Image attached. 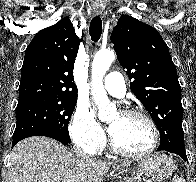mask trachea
Returning <instances> with one entry per match:
<instances>
[{"mask_svg": "<svg viewBox=\"0 0 196 182\" xmlns=\"http://www.w3.org/2000/svg\"><path fill=\"white\" fill-rule=\"evenodd\" d=\"M89 32L91 39L97 42L102 34V20L99 16H95L91 20Z\"/></svg>", "mask_w": 196, "mask_h": 182, "instance_id": "1", "label": "trachea"}]
</instances>
